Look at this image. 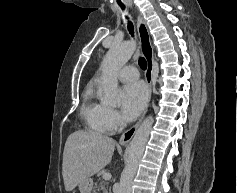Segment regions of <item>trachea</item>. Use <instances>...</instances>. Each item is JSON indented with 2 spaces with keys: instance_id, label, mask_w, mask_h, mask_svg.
<instances>
[{
  "instance_id": "1",
  "label": "trachea",
  "mask_w": 237,
  "mask_h": 193,
  "mask_svg": "<svg viewBox=\"0 0 237 193\" xmlns=\"http://www.w3.org/2000/svg\"><path fill=\"white\" fill-rule=\"evenodd\" d=\"M122 9H124V8L122 7ZM127 27H128L129 33L133 36L134 35V27H133V24H132L131 21H128V26ZM139 65H140L142 70H146L147 62H146L144 57L139 58Z\"/></svg>"
}]
</instances>
